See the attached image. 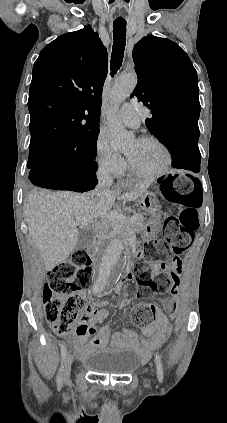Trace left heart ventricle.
<instances>
[{
    "mask_svg": "<svg viewBox=\"0 0 227 423\" xmlns=\"http://www.w3.org/2000/svg\"><path fill=\"white\" fill-rule=\"evenodd\" d=\"M127 157L135 168L143 173H152L161 168L165 161V154L155 143H141L134 141L126 151Z\"/></svg>",
    "mask_w": 227,
    "mask_h": 423,
    "instance_id": "b2bd125f",
    "label": "left heart ventricle"
}]
</instances>
